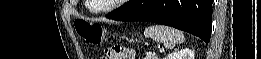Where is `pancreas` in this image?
<instances>
[{
  "instance_id": "obj_1",
  "label": "pancreas",
  "mask_w": 261,
  "mask_h": 59,
  "mask_svg": "<svg viewBox=\"0 0 261 59\" xmlns=\"http://www.w3.org/2000/svg\"><path fill=\"white\" fill-rule=\"evenodd\" d=\"M146 59H159L158 57H147Z\"/></svg>"
}]
</instances>
